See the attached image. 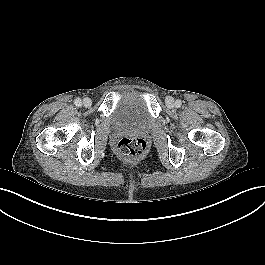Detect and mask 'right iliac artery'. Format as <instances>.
<instances>
[{
	"mask_svg": "<svg viewBox=\"0 0 265 265\" xmlns=\"http://www.w3.org/2000/svg\"><path fill=\"white\" fill-rule=\"evenodd\" d=\"M75 105L76 106H81L82 102H81V99L80 98H76L75 101H74Z\"/></svg>",
	"mask_w": 265,
	"mask_h": 265,
	"instance_id": "right-iliac-artery-1",
	"label": "right iliac artery"
}]
</instances>
